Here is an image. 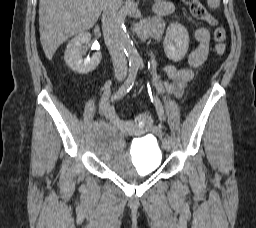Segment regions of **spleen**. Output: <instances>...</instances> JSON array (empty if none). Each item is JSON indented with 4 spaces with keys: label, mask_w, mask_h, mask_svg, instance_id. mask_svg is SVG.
Instances as JSON below:
<instances>
[{
    "label": "spleen",
    "mask_w": 256,
    "mask_h": 228,
    "mask_svg": "<svg viewBox=\"0 0 256 228\" xmlns=\"http://www.w3.org/2000/svg\"><path fill=\"white\" fill-rule=\"evenodd\" d=\"M208 6L211 9L218 8L220 5V0H207Z\"/></svg>",
    "instance_id": "spleen-1"
}]
</instances>
